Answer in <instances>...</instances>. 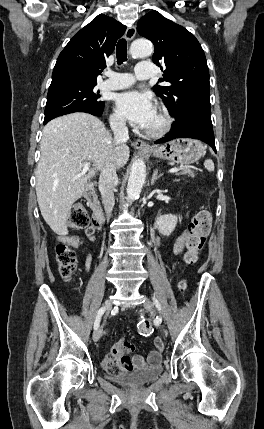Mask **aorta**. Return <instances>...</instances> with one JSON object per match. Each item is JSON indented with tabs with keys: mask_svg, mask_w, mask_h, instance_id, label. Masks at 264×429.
<instances>
[{
	"mask_svg": "<svg viewBox=\"0 0 264 429\" xmlns=\"http://www.w3.org/2000/svg\"><path fill=\"white\" fill-rule=\"evenodd\" d=\"M152 44L145 39H137L133 41L130 48V53L133 58L148 57L153 53ZM146 178V165L142 159H137L131 166V172L127 184V199L134 200L142 190Z\"/></svg>",
	"mask_w": 264,
	"mask_h": 429,
	"instance_id": "aorta-1",
	"label": "aorta"
}]
</instances>
